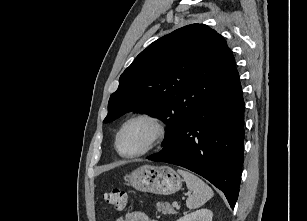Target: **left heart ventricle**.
I'll return each instance as SVG.
<instances>
[{
    "mask_svg": "<svg viewBox=\"0 0 307 221\" xmlns=\"http://www.w3.org/2000/svg\"><path fill=\"white\" fill-rule=\"evenodd\" d=\"M152 134L153 130L149 123L144 121L131 123L121 135L120 150L126 154L137 153L148 145Z\"/></svg>",
    "mask_w": 307,
    "mask_h": 221,
    "instance_id": "obj_1",
    "label": "left heart ventricle"
}]
</instances>
